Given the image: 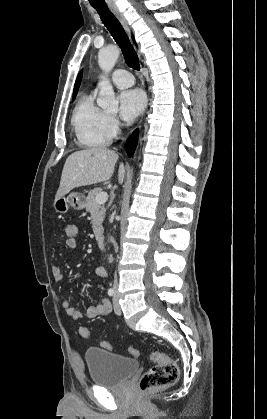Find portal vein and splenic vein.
I'll return each mask as SVG.
<instances>
[{
    "instance_id": "1",
    "label": "portal vein and splenic vein",
    "mask_w": 267,
    "mask_h": 419,
    "mask_svg": "<svg viewBox=\"0 0 267 419\" xmlns=\"http://www.w3.org/2000/svg\"><path fill=\"white\" fill-rule=\"evenodd\" d=\"M108 200V194L106 192H100L96 196V202L99 204L105 203Z\"/></svg>"
}]
</instances>
